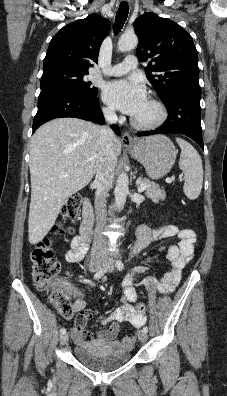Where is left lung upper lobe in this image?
I'll return each mask as SVG.
<instances>
[{
  "label": "left lung upper lobe",
  "mask_w": 227,
  "mask_h": 396,
  "mask_svg": "<svg viewBox=\"0 0 227 396\" xmlns=\"http://www.w3.org/2000/svg\"><path fill=\"white\" fill-rule=\"evenodd\" d=\"M134 28L139 38L137 56L142 61L151 59L146 67L147 78L162 101L180 90L201 89L197 50L181 26L145 13L135 20Z\"/></svg>",
  "instance_id": "obj_1"
}]
</instances>
